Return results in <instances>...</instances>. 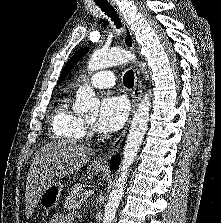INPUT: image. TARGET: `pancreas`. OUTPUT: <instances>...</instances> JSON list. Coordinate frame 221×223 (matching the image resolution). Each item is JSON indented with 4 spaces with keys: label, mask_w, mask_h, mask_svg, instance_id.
<instances>
[{
    "label": "pancreas",
    "mask_w": 221,
    "mask_h": 223,
    "mask_svg": "<svg viewBox=\"0 0 221 223\" xmlns=\"http://www.w3.org/2000/svg\"><path fill=\"white\" fill-rule=\"evenodd\" d=\"M76 186H73L68 192V196L66 197L64 208L68 210H74L76 208L81 207L84 201V194H79L78 196L74 193Z\"/></svg>",
    "instance_id": "cf45deb5"
}]
</instances>
